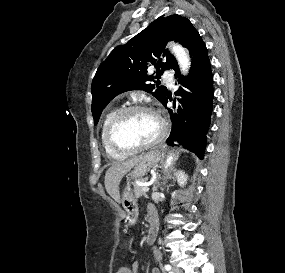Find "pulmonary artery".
<instances>
[{
  "instance_id": "1",
  "label": "pulmonary artery",
  "mask_w": 285,
  "mask_h": 273,
  "mask_svg": "<svg viewBox=\"0 0 285 273\" xmlns=\"http://www.w3.org/2000/svg\"><path fill=\"white\" fill-rule=\"evenodd\" d=\"M163 79L168 83L169 86L173 84V74L172 71L167 69L163 72Z\"/></svg>"
}]
</instances>
